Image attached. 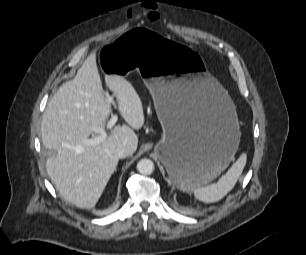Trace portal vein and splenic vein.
I'll return each instance as SVG.
<instances>
[{
  "mask_svg": "<svg viewBox=\"0 0 306 255\" xmlns=\"http://www.w3.org/2000/svg\"><path fill=\"white\" fill-rule=\"evenodd\" d=\"M107 100H108V102L112 103L115 106V108L117 107L115 101L113 100V97H108ZM117 120H118V116L116 114L112 115L111 119L107 123V128L111 129L115 125ZM93 130H94V132H96L98 134V136L93 137L91 139H87L86 140L87 144L97 145V144H100L101 142H103L106 139L107 133L103 129L98 128V127H94Z\"/></svg>",
  "mask_w": 306,
  "mask_h": 255,
  "instance_id": "portal-vein-and-splenic-vein-1",
  "label": "portal vein and splenic vein"
}]
</instances>
